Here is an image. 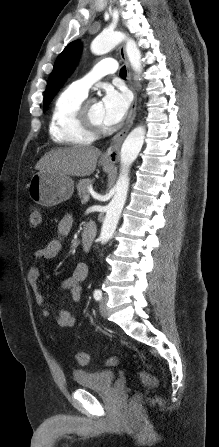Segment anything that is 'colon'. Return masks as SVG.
<instances>
[{
  "mask_svg": "<svg viewBox=\"0 0 219 447\" xmlns=\"http://www.w3.org/2000/svg\"><path fill=\"white\" fill-rule=\"evenodd\" d=\"M41 221H42V215H41L40 209L37 206H31L29 208V225H30V227H32V228L38 227L41 224ZM75 358H76V361L81 365H86L89 363V355L86 352H83V351L77 352L75 355ZM119 361H120L119 358L113 357L107 361V364L115 365V364H118ZM139 374L141 377L142 384L145 388L149 389L156 385L157 380L152 374H150L146 371H141Z\"/></svg>",
  "mask_w": 219,
  "mask_h": 447,
  "instance_id": "obj_1",
  "label": "colon"
}]
</instances>
